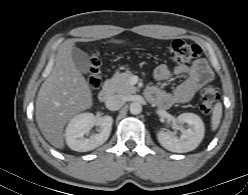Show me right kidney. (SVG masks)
Masks as SVG:
<instances>
[{"instance_id":"1","label":"right kidney","mask_w":248,"mask_h":195,"mask_svg":"<svg viewBox=\"0 0 248 195\" xmlns=\"http://www.w3.org/2000/svg\"><path fill=\"white\" fill-rule=\"evenodd\" d=\"M113 118L102 116L96 118L92 113H81L74 116L65 130V139L68 147L78 152L91 151L104 144L110 136ZM98 126V133L86 138L93 126Z\"/></svg>"}]
</instances>
